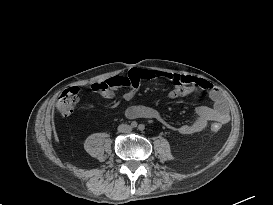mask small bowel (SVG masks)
Here are the masks:
<instances>
[{
  "label": "small bowel",
  "instance_id": "small-bowel-1",
  "mask_svg": "<svg viewBox=\"0 0 273 205\" xmlns=\"http://www.w3.org/2000/svg\"><path fill=\"white\" fill-rule=\"evenodd\" d=\"M133 77L148 81L163 78L173 83L174 87L166 94L168 99L185 97L196 93L199 90L206 91L213 101V106H199L196 109V118L194 121L178 127L173 126L157 110L148 105H136L128 108L127 115L131 118L144 117L157 119L166 127L177 130L181 134H191L203 131L211 121L219 124H225L229 121L228 104L222 92L211 82L191 75L157 70H132L128 75H117L98 81L92 85V90L98 96L112 98L116 96L119 89L126 88L123 93V98L126 101H131L137 94L136 86L130 84V80ZM74 88L78 89L77 87Z\"/></svg>",
  "mask_w": 273,
  "mask_h": 205
}]
</instances>
